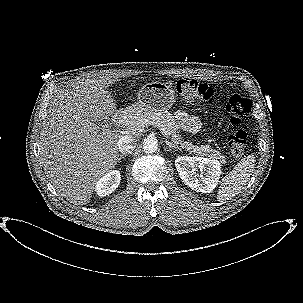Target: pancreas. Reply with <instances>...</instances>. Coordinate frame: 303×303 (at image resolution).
Instances as JSON below:
<instances>
[{
    "instance_id": "pancreas-1",
    "label": "pancreas",
    "mask_w": 303,
    "mask_h": 303,
    "mask_svg": "<svg viewBox=\"0 0 303 303\" xmlns=\"http://www.w3.org/2000/svg\"><path fill=\"white\" fill-rule=\"evenodd\" d=\"M151 122L162 124L171 136L173 143L180 144V146L189 151V153L207 156L213 160H219L221 163H225V157L219 151L212 149L211 146L194 145L191 142L183 141L179 134L180 126L176 122L174 116L168 111L155 112L135 110L127 114L124 126L129 130L136 131L141 130L145 125H148Z\"/></svg>"
}]
</instances>
